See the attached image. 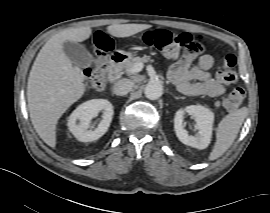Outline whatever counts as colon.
<instances>
[{"mask_svg": "<svg viewBox=\"0 0 270 213\" xmlns=\"http://www.w3.org/2000/svg\"><path fill=\"white\" fill-rule=\"evenodd\" d=\"M144 43L150 47H155L159 51L175 57L181 52L185 55H194L201 50L203 38L193 37L189 33L175 34L165 29L147 31L143 37ZM92 46L94 48V61L87 71V80L91 87L100 89L104 86V74L107 67V53L111 50V38L104 31H96L92 36ZM236 64L234 55L229 54L224 57V62L219 67V77L227 84H232L237 80V74L233 70ZM243 89L235 87L220 100L221 106L226 111H232L238 107L243 97Z\"/></svg>", "mask_w": 270, "mask_h": 213, "instance_id": "obj_1", "label": "colon"}]
</instances>
